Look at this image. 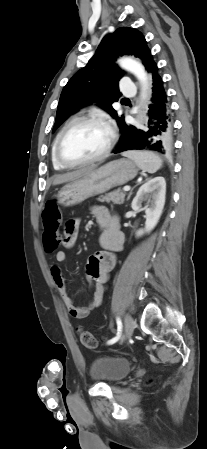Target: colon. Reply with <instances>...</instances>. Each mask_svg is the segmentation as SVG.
I'll list each match as a JSON object with an SVG mask.
<instances>
[{"label":"colon","mask_w":207,"mask_h":449,"mask_svg":"<svg viewBox=\"0 0 207 449\" xmlns=\"http://www.w3.org/2000/svg\"><path fill=\"white\" fill-rule=\"evenodd\" d=\"M43 220V246L46 252H54L63 239L59 233L61 226L62 215L57 203L54 200L46 202L42 212ZM79 338L82 344L87 348H96L98 345L97 339L88 331L79 329Z\"/></svg>","instance_id":"colon-1"}]
</instances>
